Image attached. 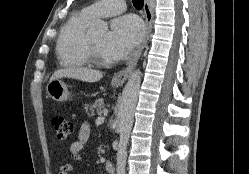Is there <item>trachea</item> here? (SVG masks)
<instances>
[{"instance_id": "1", "label": "trachea", "mask_w": 249, "mask_h": 174, "mask_svg": "<svg viewBox=\"0 0 249 174\" xmlns=\"http://www.w3.org/2000/svg\"><path fill=\"white\" fill-rule=\"evenodd\" d=\"M134 7L137 10L142 9L143 5H144V0H132Z\"/></svg>"}]
</instances>
